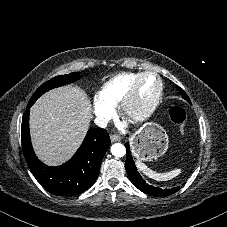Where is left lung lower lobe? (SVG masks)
<instances>
[{"label":"left lung lower lobe","instance_id":"left-lung-lower-lobe-1","mask_svg":"<svg viewBox=\"0 0 227 227\" xmlns=\"http://www.w3.org/2000/svg\"><path fill=\"white\" fill-rule=\"evenodd\" d=\"M125 147L127 149V155H126V171L128 174V177L130 178L131 182L142 192L151 195V196H157V197H166L171 194L176 193L180 187H174L171 189H161L154 186L149 185L146 183V181L141 177L139 172L137 171V168L135 166V163L132 159L130 147L129 144L126 143Z\"/></svg>","mask_w":227,"mask_h":227}]
</instances>
